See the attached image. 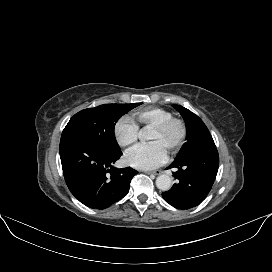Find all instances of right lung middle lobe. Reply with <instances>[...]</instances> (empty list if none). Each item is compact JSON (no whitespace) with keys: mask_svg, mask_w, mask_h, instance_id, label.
Segmentation results:
<instances>
[{"mask_svg":"<svg viewBox=\"0 0 272 272\" xmlns=\"http://www.w3.org/2000/svg\"><path fill=\"white\" fill-rule=\"evenodd\" d=\"M140 104H105L82 110L70 119L61 138L81 136L97 141L107 149L120 150L114 135L115 124L121 116Z\"/></svg>","mask_w":272,"mask_h":272,"instance_id":"1","label":"right lung middle lobe"}]
</instances>
